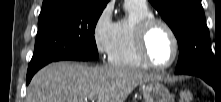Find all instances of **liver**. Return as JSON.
<instances>
[{
  "mask_svg": "<svg viewBox=\"0 0 221 102\" xmlns=\"http://www.w3.org/2000/svg\"><path fill=\"white\" fill-rule=\"evenodd\" d=\"M155 76L126 66L89 67L57 62L41 69L31 80L26 102H124L140 84Z\"/></svg>",
  "mask_w": 221,
  "mask_h": 102,
  "instance_id": "liver-1",
  "label": "liver"
}]
</instances>
